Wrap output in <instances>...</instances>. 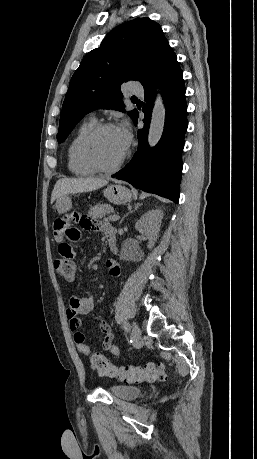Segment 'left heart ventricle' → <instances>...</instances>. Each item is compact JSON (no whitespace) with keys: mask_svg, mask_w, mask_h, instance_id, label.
<instances>
[{"mask_svg":"<svg viewBox=\"0 0 257 459\" xmlns=\"http://www.w3.org/2000/svg\"><path fill=\"white\" fill-rule=\"evenodd\" d=\"M125 151L121 145L116 128L103 131L96 138L92 146L94 158L104 166L115 164Z\"/></svg>","mask_w":257,"mask_h":459,"instance_id":"obj_1","label":"left heart ventricle"}]
</instances>
